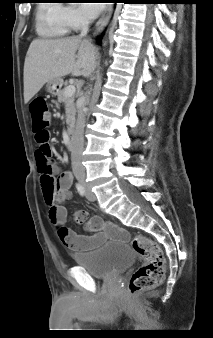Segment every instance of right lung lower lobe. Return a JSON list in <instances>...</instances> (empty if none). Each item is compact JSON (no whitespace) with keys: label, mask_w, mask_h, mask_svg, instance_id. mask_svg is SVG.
<instances>
[{"label":"right lung lower lobe","mask_w":213,"mask_h":338,"mask_svg":"<svg viewBox=\"0 0 213 338\" xmlns=\"http://www.w3.org/2000/svg\"><path fill=\"white\" fill-rule=\"evenodd\" d=\"M117 1H118V0H115V2H113V3H117Z\"/></svg>","instance_id":"1"}]
</instances>
